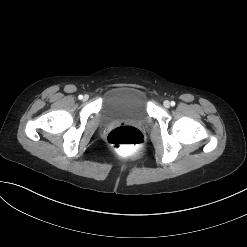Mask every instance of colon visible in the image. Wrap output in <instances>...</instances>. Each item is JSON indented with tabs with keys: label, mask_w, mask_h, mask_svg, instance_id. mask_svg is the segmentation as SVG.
Masks as SVG:
<instances>
[{
	"label": "colon",
	"mask_w": 247,
	"mask_h": 247,
	"mask_svg": "<svg viewBox=\"0 0 247 247\" xmlns=\"http://www.w3.org/2000/svg\"><path fill=\"white\" fill-rule=\"evenodd\" d=\"M107 141L114 149L127 150L142 144L144 137L135 127L120 126L109 132Z\"/></svg>",
	"instance_id": "obj_1"
}]
</instances>
